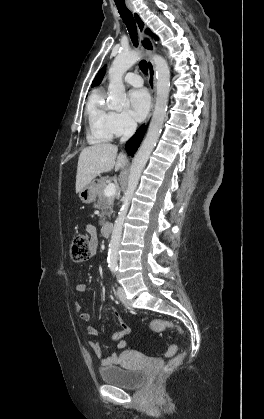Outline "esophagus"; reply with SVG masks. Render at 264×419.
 Listing matches in <instances>:
<instances>
[{
	"label": "esophagus",
	"instance_id": "obj_1",
	"mask_svg": "<svg viewBox=\"0 0 264 419\" xmlns=\"http://www.w3.org/2000/svg\"><path fill=\"white\" fill-rule=\"evenodd\" d=\"M129 8L131 10V13L133 15V18L138 28L141 46L147 55V64H148V71H149V86H150V90L152 94V108H151V113L146 120V124H147L150 121V117L152 115L154 105H155L156 75H155V66L151 59V54L155 51V45L151 37L146 33L147 26L143 18L141 17V15L132 5H129Z\"/></svg>",
	"mask_w": 264,
	"mask_h": 419
}]
</instances>
